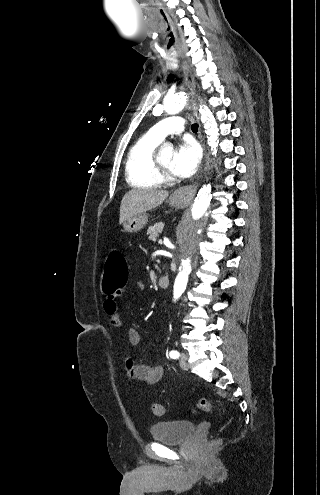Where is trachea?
I'll use <instances>...</instances> for the list:
<instances>
[{
	"label": "trachea",
	"mask_w": 320,
	"mask_h": 495,
	"mask_svg": "<svg viewBox=\"0 0 320 495\" xmlns=\"http://www.w3.org/2000/svg\"><path fill=\"white\" fill-rule=\"evenodd\" d=\"M191 129H192L193 132H197V130H198V124H193L191 126Z\"/></svg>",
	"instance_id": "obj_1"
}]
</instances>
